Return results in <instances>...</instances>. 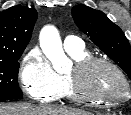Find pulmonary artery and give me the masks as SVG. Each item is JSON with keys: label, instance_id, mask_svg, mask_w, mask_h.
I'll return each instance as SVG.
<instances>
[{"label": "pulmonary artery", "instance_id": "pulmonary-artery-1", "mask_svg": "<svg viewBox=\"0 0 131 115\" xmlns=\"http://www.w3.org/2000/svg\"><path fill=\"white\" fill-rule=\"evenodd\" d=\"M64 48L66 51H76L83 49V42L82 40L73 35H69L64 39Z\"/></svg>", "mask_w": 131, "mask_h": 115}]
</instances>
